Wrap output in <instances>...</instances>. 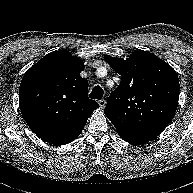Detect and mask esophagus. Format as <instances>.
Here are the masks:
<instances>
[{
	"label": "esophagus",
	"mask_w": 193,
	"mask_h": 193,
	"mask_svg": "<svg viewBox=\"0 0 193 193\" xmlns=\"http://www.w3.org/2000/svg\"><path fill=\"white\" fill-rule=\"evenodd\" d=\"M98 104H99L100 108L103 109L105 107V105H106V101L104 99L99 100Z\"/></svg>",
	"instance_id": "obj_1"
}]
</instances>
